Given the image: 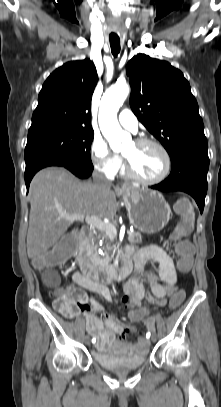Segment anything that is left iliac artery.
<instances>
[{
	"label": "left iliac artery",
	"instance_id": "obj_1",
	"mask_svg": "<svg viewBox=\"0 0 221 407\" xmlns=\"http://www.w3.org/2000/svg\"><path fill=\"white\" fill-rule=\"evenodd\" d=\"M153 331H155V329H154V328H153ZM150 335H151V334H150V333H148V334L146 335V337H147V338H149V337H150Z\"/></svg>",
	"mask_w": 221,
	"mask_h": 407
}]
</instances>
